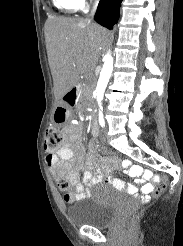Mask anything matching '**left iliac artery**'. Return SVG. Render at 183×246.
<instances>
[{
	"label": "left iliac artery",
	"instance_id": "1",
	"mask_svg": "<svg viewBox=\"0 0 183 246\" xmlns=\"http://www.w3.org/2000/svg\"><path fill=\"white\" fill-rule=\"evenodd\" d=\"M99 124L101 125V127L105 126V121H104V117H103L102 111H99Z\"/></svg>",
	"mask_w": 183,
	"mask_h": 246
}]
</instances>
